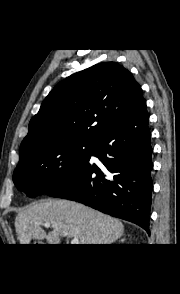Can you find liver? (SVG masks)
Listing matches in <instances>:
<instances>
[{"instance_id": "obj_1", "label": "liver", "mask_w": 180, "mask_h": 294, "mask_svg": "<svg viewBox=\"0 0 180 294\" xmlns=\"http://www.w3.org/2000/svg\"><path fill=\"white\" fill-rule=\"evenodd\" d=\"M43 223L52 227L48 234L42 228ZM15 229L20 244H30L32 239L59 244L63 237L77 238L80 244H112L124 233V225L118 219L62 199L22 209L15 218Z\"/></svg>"}]
</instances>
